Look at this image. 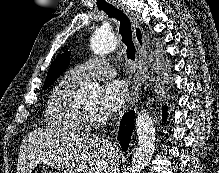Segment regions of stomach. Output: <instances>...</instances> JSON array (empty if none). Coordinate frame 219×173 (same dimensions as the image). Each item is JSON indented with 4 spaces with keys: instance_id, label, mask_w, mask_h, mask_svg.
I'll use <instances>...</instances> for the list:
<instances>
[{
    "instance_id": "stomach-1",
    "label": "stomach",
    "mask_w": 219,
    "mask_h": 173,
    "mask_svg": "<svg viewBox=\"0 0 219 173\" xmlns=\"http://www.w3.org/2000/svg\"><path fill=\"white\" fill-rule=\"evenodd\" d=\"M53 173H60V172H58V171L56 172V171H55V172H53Z\"/></svg>"
}]
</instances>
